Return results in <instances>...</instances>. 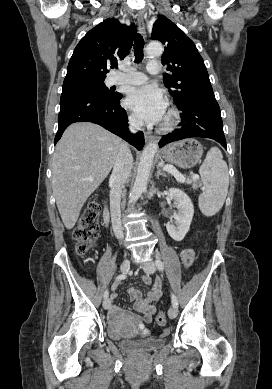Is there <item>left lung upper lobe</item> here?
<instances>
[{
	"label": "left lung upper lobe",
	"instance_id": "1",
	"mask_svg": "<svg viewBox=\"0 0 272 389\" xmlns=\"http://www.w3.org/2000/svg\"><path fill=\"white\" fill-rule=\"evenodd\" d=\"M152 39L166 45L162 63L168 65L163 81L178 108L190 99L213 92L201 55L191 39L164 16L153 24Z\"/></svg>",
	"mask_w": 272,
	"mask_h": 389
}]
</instances>
